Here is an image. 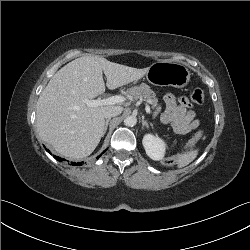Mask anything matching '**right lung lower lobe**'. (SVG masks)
Instances as JSON below:
<instances>
[{"mask_svg":"<svg viewBox=\"0 0 250 250\" xmlns=\"http://www.w3.org/2000/svg\"><path fill=\"white\" fill-rule=\"evenodd\" d=\"M46 151L49 152L48 149H46ZM104 152H105V151H104ZM104 152H103V153H104ZM49 153H50V152H49ZM103 153H102V154H103ZM100 156H101V155H100ZM100 156H98L97 158H99ZM54 157H55L58 161H65V159H62V158H59V157H56V156H54ZM71 164H72V165H81L82 162H81V163H73V162H71Z\"/></svg>","mask_w":250,"mask_h":250,"instance_id":"1","label":"right lung lower lobe"}]
</instances>
